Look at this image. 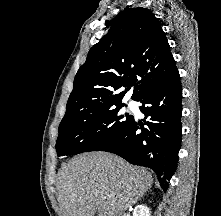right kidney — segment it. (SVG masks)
Returning <instances> with one entry per match:
<instances>
[{"label":"right kidney","instance_id":"ca27d5eb","mask_svg":"<svg viewBox=\"0 0 221 216\" xmlns=\"http://www.w3.org/2000/svg\"><path fill=\"white\" fill-rule=\"evenodd\" d=\"M133 216H151L150 210L145 205H138L135 207Z\"/></svg>","mask_w":221,"mask_h":216}]
</instances>
